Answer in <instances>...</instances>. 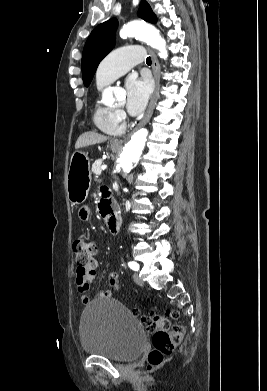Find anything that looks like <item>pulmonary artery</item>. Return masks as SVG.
Here are the masks:
<instances>
[{"mask_svg":"<svg viewBox=\"0 0 267 391\" xmlns=\"http://www.w3.org/2000/svg\"><path fill=\"white\" fill-rule=\"evenodd\" d=\"M145 58V51L136 45H127L113 50L99 64L96 84L103 87L125 74Z\"/></svg>","mask_w":267,"mask_h":391,"instance_id":"pulmonary-artery-1","label":"pulmonary artery"}]
</instances>
